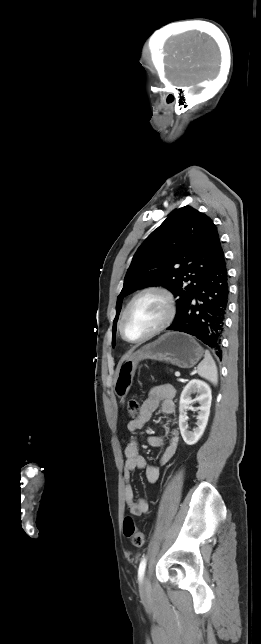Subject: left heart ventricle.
Listing matches in <instances>:
<instances>
[{
    "mask_svg": "<svg viewBox=\"0 0 261 644\" xmlns=\"http://www.w3.org/2000/svg\"><path fill=\"white\" fill-rule=\"evenodd\" d=\"M167 313L164 298L149 293L138 298L132 305L126 319L125 331L130 339H139L159 326Z\"/></svg>",
    "mask_w": 261,
    "mask_h": 644,
    "instance_id": "b2bd125f",
    "label": "left heart ventricle"
}]
</instances>
